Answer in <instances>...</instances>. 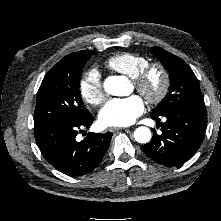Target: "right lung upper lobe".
I'll return each mask as SVG.
<instances>
[{
  "instance_id": "obj_1",
  "label": "right lung upper lobe",
  "mask_w": 221,
  "mask_h": 221,
  "mask_svg": "<svg viewBox=\"0 0 221 221\" xmlns=\"http://www.w3.org/2000/svg\"><path fill=\"white\" fill-rule=\"evenodd\" d=\"M85 51H87V50H83V51H79V52H76V53H72V54H69L67 56H77V55L83 54Z\"/></svg>"
}]
</instances>
